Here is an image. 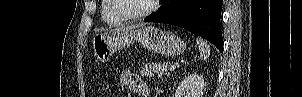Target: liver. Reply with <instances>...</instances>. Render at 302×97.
Here are the masks:
<instances>
[{
  "instance_id": "6515ba94",
  "label": "liver",
  "mask_w": 302,
  "mask_h": 97,
  "mask_svg": "<svg viewBox=\"0 0 302 97\" xmlns=\"http://www.w3.org/2000/svg\"><path fill=\"white\" fill-rule=\"evenodd\" d=\"M135 27H142V26H139V25H131V26L119 28V29H117V30H113V32H116V31H119V30H123V29H127V28H135Z\"/></svg>"
}]
</instances>
